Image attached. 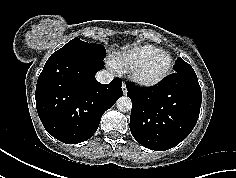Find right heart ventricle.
<instances>
[{"label": "right heart ventricle", "instance_id": "1", "mask_svg": "<svg viewBox=\"0 0 236 178\" xmlns=\"http://www.w3.org/2000/svg\"><path fill=\"white\" fill-rule=\"evenodd\" d=\"M160 51H162L160 48L151 44L137 45L123 52L122 54L117 55L113 59V64L116 67L130 70L141 60Z\"/></svg>", "mask_w": 236, "mask_h": 178}]
</instances>
